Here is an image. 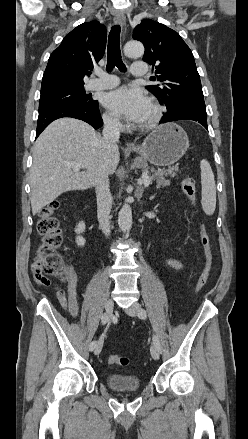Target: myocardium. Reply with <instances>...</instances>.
I'll use <instances>...</instances> for the list:
<instances>
[{
  "label": "myocardium",
  "mask_w": 248,
  "mask_h": 439,
  "mask_svg": "<svg viewBox=\"0 0 248 439\" xmlns=\"http://www.w3.org/2000/svg\"><path fill=\"white\" fill-rule=\"evenodd\" d=\"M149 105L152 109V114L148 120L138 124L140 130H151L155 128L162 119L164 112L163 107L155 100L150 101Z\"/></svg>",
  "instance_id": "1"
}]
</instances>
